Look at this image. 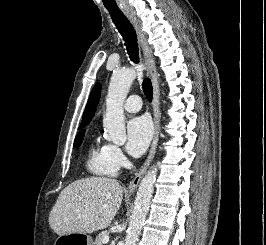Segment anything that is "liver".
<instances>
[{
	"instance_id": "obj_1",
	"label": "liver",
	"mask_w": 266,
	"mask_h": 245,
	"mask_svg": "<svg viewBox=\"0 0 266 245\" xmlns=\"http://www.w3.org/2000/svg\"><path fill=\"white\" fill-rule=\"evenodd\" d=\"M123 199L116 179L90 177L74 181L61 191L49 215V225L57 235L94 233L109 227Z\"/></svg>"
}]
</instances>
